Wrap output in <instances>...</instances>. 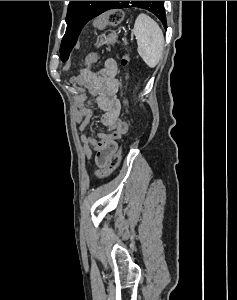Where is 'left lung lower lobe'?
Returning <instances> with one entry per match:
<instances>
[{"instance_id":"0a47b994","label":"left lung lower lobe","mask_w":237,"mask_h":300,"mask_svg":"<svg viewBox=\"0 0 237 300\" xmlns=\"http://www.w3.org/2000/svg\"><path fill=\"white\" fill-rule=\"evenodd\" d=\"M116 8H120V1H110L104 8L103 12L110 10V9H116ZM160 9H161V12L165 11L164 4L162 3V1H160Z\"/></svg>"}]
</instances>
